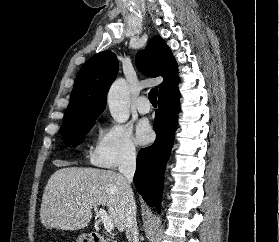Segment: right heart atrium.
Listing matches in <instances>:
<instances>
[{"label":"right heart atrium","instance_id":"right-heart-atrium-1","mask_svg":"<svg viewBox=\"0 0 279 242\" xmlns=\"http://www.w3.org/2000/svg\"><path fill=\"white\" fill-rule=\"evenodd\" d=\"M137 146L130 129L120 124L103 128L90 153L93 165L114 169L136 159Z\"/></svg>","mask_w":279,"mask_h":242}]
</instances>
